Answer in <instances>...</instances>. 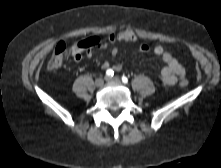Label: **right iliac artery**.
Returning <instances> with one entry per match:
<instances>
[{
    "instance_id": "1",
    "label": "right iliac artery",
    "mask_w": 221,
    "mask_h": 168,
    "mask_svg": "<svg viewBox=\"0 0 221 168\" xmlns=\"http://www.w3.org/2000/svg\"><path fill=\"white\" fill-rule=\"evenodd\" d=\"M106 75H107L108 77H112V76L114 75V71H113L112 69H108V70L106 71Z\"/></svg>"
}]
</instances>
